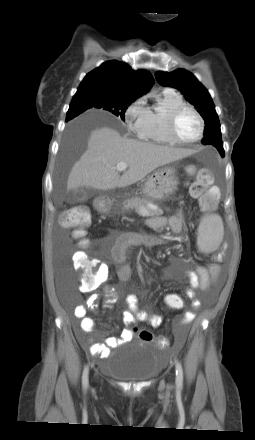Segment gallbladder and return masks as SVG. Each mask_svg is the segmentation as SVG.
I'll list each match as a JSON object with an SVG mask.
<instances>
[{"mask_svg":"<svg viewBox=\"0 0 255 440\" xmlns=\"http://www.w3.org/2000/svg\"><path fill=\"white\" fill-rule=\"evenodd\" d=\"M72 202H82L87 200L88 194L82 189H76L71 194Z\"/></svg>","mask_w":255,"mask_h":440,"instance_id":"gallbladder-1","label":"gallbladder"}]
</instances>
